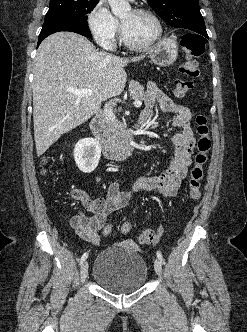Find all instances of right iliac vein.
<instances>
[{
	"mask_svg": "<svg viewBox=\"0 0 247 332\" xmlns=\"http://www.w3.org/2000/svg\"><path fill=\"white\" fill-rule=\"evenodd\" d=\"M88 268H89L88 262L84 261L81 266V271H80V276H81L82 281H85V279L88 276Z\"/></svg>",
	"mask_w": 247,
	"mask_h": 332,
	"instance_id": "obj_1",
	"label": "right iliac vein"
}]
</instances>
